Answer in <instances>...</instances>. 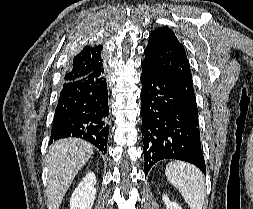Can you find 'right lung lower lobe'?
Wrapping results in <instances>:
<instances>
[{"label": "right lung lower lobe", "mask_w": 253, "mask_h": 209, "mask_svg": "<svg viewBox=\"0 0 253 209\" xmlns=\"http://www.w3.org/2000/svg\"><path fill=\"white\" fill-rule=\"evenodd\" d=\"M103 74L101 70L64 83L55 110L50 144L61 138L76 137L106 154L109 107Z\"/></svg>", "instance_id": "obj_1"}]
</instances>
